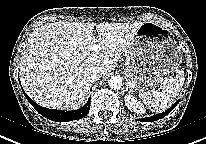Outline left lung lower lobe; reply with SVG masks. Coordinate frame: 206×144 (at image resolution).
<instances>
[{
  "label": "left lung lower lobe",
  "mask_w": 206,
  "mask_h": 144,
  "mask_svg": "<svg viewBox=\"0 0 206 144\" xmlns=\"http://www.w3.org/2000/svg\"><path fill=\"white\" fill-rule=\"evenodd\" d=\"M180 102V100H177L176 103H174L172 105V107H170L169 109H167L165 112L163 113H160V114H157V115H154V116H151V117H147V118H143V119H139L140 121H143V122H150V121H156V120H159L163 117H165L168 113H170L173 108H175V106Z\"/></svg>",
  "instance_id": "0a47b994"
}]
</instances>
